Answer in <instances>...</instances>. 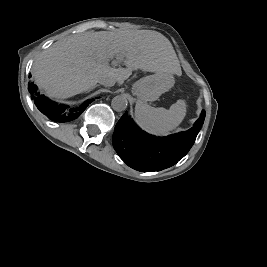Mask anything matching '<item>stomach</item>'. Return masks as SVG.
I'll return each instance as SVG.
<instances>
[{
	"mask_svg": "<svg viewBox=\"0 0 267 267\" xmlns=\"http://www.w3.org/2000/svg\"><path fill=\"white\" fill-rule=\"evenodd\" d=\"M173 84L174 78L171 74L157 72L135 82L132 86V94L142 102L155 101Z\"/></svg>",
	"mask_w": 267,
	"mask_h": 267,
	"instance_id": "obj_1",
	"label": "stomach"
}]
</instances>
